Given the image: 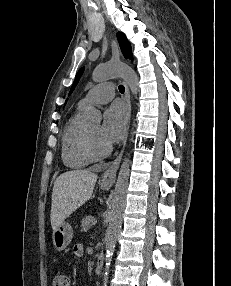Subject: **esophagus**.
Wrapping results in <instances>:
<instances>
[{
	"label": "esophagus",
	"instance_id": "esophagus-1",
	"mask_svg": "<svg viewBox=\"0 0 231 286\" xmlns=\"http://www.w3.org/2000/svg\"><path fill=\"white\" fill-rule=\"evenodd\" d=\"M125 102H126V105L128 108V114H129L127 131L125 133V137L123 140V147L121 149V152L102 175L101 183L102 185H105V186H112L114 184L115 178H116V172L119 168V165H120L123 153H124V149L126 146V142H127L130 117H131V99H130V92H129V88L127 84H125Z\"/></svg>",
	"mask_w": 231,
	"mask_h": 286
}]
</instances>
